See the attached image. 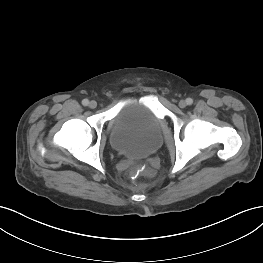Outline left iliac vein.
<instances>
[{
  "label": "left iliac vein",
  "mask_w": 263,
  "mask_h": 263,
  "mask_svg": "<svg viewBox=\"0 0 263 263\" xmlns=\"http://www.w3.org/2000/svg\"><path fill=\"white\" fill-rule=\"evenodd\" d=\"M186 101H184V100H181L180 102H179V107L180 108H184V107H186Z\"/></svg>",
  "instance_id": "obj_1"
}]
</instances>
